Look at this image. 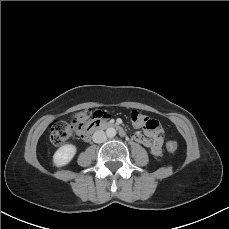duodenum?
<instances>
[{
  "mask_svg": "<svg viewBox=\"0 0 229 229\" xmlns=\"http://www.w3.org/2000/svg\"><path fill=\"white\" fill-rule=\"evenodd\" d=\"M111 127L116 128L122 136H124L126 134L124 128L122 126H120L119 124H117L115 122L105 121L103 119H99V120H96L90 124V126L88 128L87 138L89 137V134H91L97 130L105 129V128H111Z\"/></svg>",
  "mask_w": 229,
  "mask_h": 229,
  "instance_id": "410a0bca",
  "label": "duodenum"
}]
</instances>
